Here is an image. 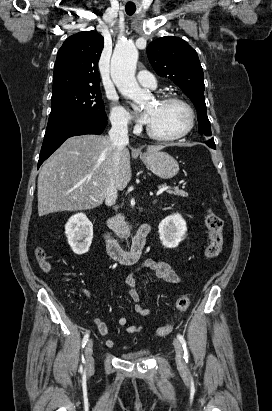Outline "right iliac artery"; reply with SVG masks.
I'll return each mask as SVG.
<instances>
[{"instance_id":"right-iliac-artery-1","label":"right iliac artery","mask_w":272,"mask_h":411,"mask_svg":"<svg viewBox=\"0 0 272 411\" xmlns=\"http://www.w3.org/2000/svg\"><path fill=\"white\" fill-rule=\"evenodd\" d=\"M88 339H89V333L87 332V333L84 335L83 340H82V348L85 347ZM82 363H84V357H83V356H82Z\"/></svg>"}]
</instances>
